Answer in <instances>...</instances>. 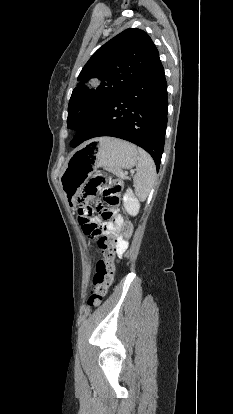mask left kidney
<instances>
[{
	"label": "left kidney",
	"instance_id": "5707ae66",
	"mask_svg": "<svg viewBox=\"0 0 233 414\" xmlns=\"http://www.w3.org/2000/svg\"><path fill=\"white\" fill-rule=\"evenodd\" d=\"M124 208L126 212L131 216H136L140 209V202L134 195L133 191L129 188L123 197Z\"/></svg>",
	"mask_w": 233,
	"mask_h": 414
}]
</instances>
